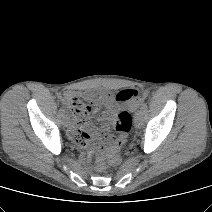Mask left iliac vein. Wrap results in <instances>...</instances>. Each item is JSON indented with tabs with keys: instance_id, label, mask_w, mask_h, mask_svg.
Here are the masks:
<instances>
[{
	"instance_id": "left-iliac-vein-1",
	"label": "left iliac vein",
	"mask_w": 212,
	"mask_h": 212,
	"mask_svg": "<svg viewBox=\"0 0 212 212\" xmlns=\"http://www.w3.org/2000/svg\"><path fill=\"white\" fill-rule=\"evenodd\" d=\"M143 121V112L141 110H138L134 117V124L136 128H140Z\"/></svg>"
}]
</instances>
